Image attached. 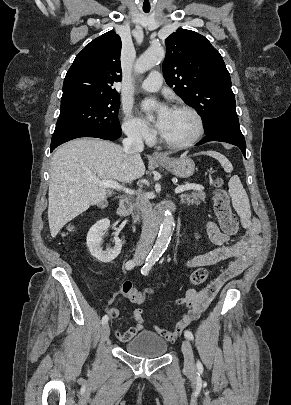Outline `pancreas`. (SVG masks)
Wrapping results in <instances>:
<instances>
[{
    "mask_svg": "<svg viewBox=\"0 0 291 405\" xmlns=\"http://www.w3.org/2000/svg\"><path fill=\"white\" fill-rule=\"evenodd\" d=\"M181 203H187L188 205L199 204L201 201H205L206 194L202 191L198 192H191L190 194H182L180 195ZM134 220L138 221L139 216H134Z\"/></svg>",
    "mask_w": 291,
    "mask_h": 405,
    "instance_id": "1",
    "label": "pancreas"
}]
</instances>
